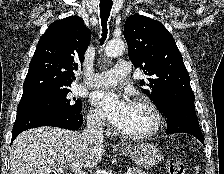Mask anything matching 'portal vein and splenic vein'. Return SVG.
Listing matches in <instances>:
<instances>
[{
    "label": "portal vein and splenic vein",
    "instance_id": "obj_1",
    "mask_svg": "<svg viewBox=\"0 0 224 174\" xmlns=\"http://www.w3.org/2000/svg\"><path fill=\"white\" fill-rule=\"evenodd\" d=\"M71 170L75 174H88V173L80 170V164L79 163H75V164L71 165ZM125 174H133V172L131 170H128Z\"/></svg>",
    "mask_w": 224,
    "mask_h": 174
}]
</instances>
